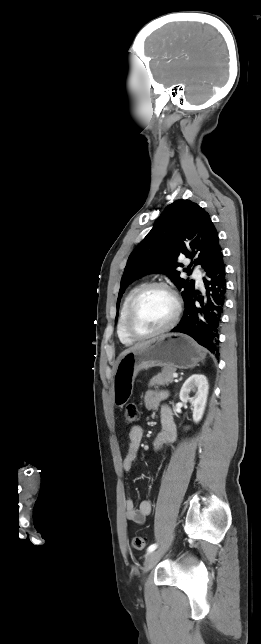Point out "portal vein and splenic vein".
<instances>
[{"label":"portal vein and splenic vein","instance_id":"obj_1","mask_svg":"<svg viewBox=\"0 0 261 644\" xmlns=\"http://www.w3.org/2000/svg\"><path fill=\"white\" fill-rule=\"evenodd\" d=\"M173 377H174V378H177V377H178V374H177V373H174V374H173Z\"/></svg>","mask_w":261,"mask_h":644}]
</instances>
